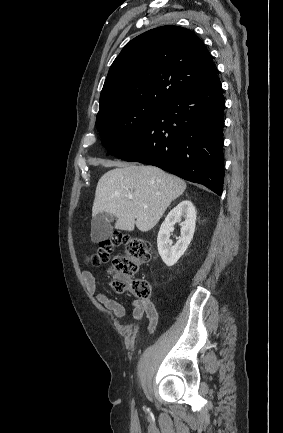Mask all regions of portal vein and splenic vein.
I'll list each match as a JSON object with an SVG mask.
<instances>
[{
	"label": "portal vein and splenic vein",
	"mask_w": 283,
	"mask_h": 433,
	"mask_svg": "<svg viewBox=\"0 0 283 433\" xmlns=\"http://www.w3.org/2000/svg\"><path fill=\"white\" fill-rule=\"evenodd\" d=\"M128 198H133V196H128Z\"/></svg>",
	"instance_id": "obj_1"
}]
</instances>
